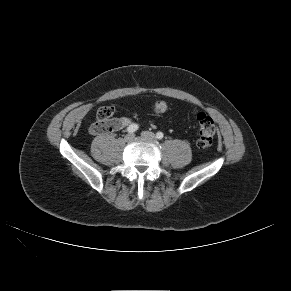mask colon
<instances>
[{"mask_svg": "<svg viewBox=\"0 0 291 291\" xmlns=\"http://www.w3.org/2000/svg\"><path fill=\"white\" fill-rule=\"evenodd\" d=\"M168 110V103L158 101L154 106L156 114H163ZM114 107L111 105L101 106L97 111V120L91 125L90 132L94 135L104 134L113 130L112 116ZM195 117L199 126V138L197 145L201 149L209 148L216 133V126L212 117L202 111L195 113Z\"/></svg>", "mask_w": 291, "mask_h": 291, "instance_id": "1", "label": "colon"}]
</instances>
